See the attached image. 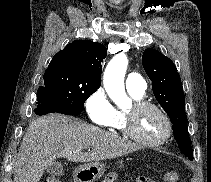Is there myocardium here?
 <instances>
[{"mask_svg":"<svg viewBox=\"0 0 211 182\" xmlns=\"http://www.w3.org/2000/svg\"><path fill=\"white\" fill-rule=\"evenodd\" d=\"M132 107H133L132 112H126L124 114L125 132L131 139H133L137 143L144 145V146L157 147V146L164 144L170 138V136L172 134V123H171V120H170L168 114L161 106H159L156 103L140 99V100H136L133 103ZM146 108H152V109L156 110L161 115V117L163 118L164 123H165L164 133L162 134V136L159 139L154 140V141H148V140L142 139L137 134V132L135 130V115L139 111L144 110Z\"/></svg>","mask_w":211,"mask_h":182,"instance_id":"obj_1","label":"myocardium"}]
</instances>
